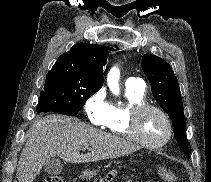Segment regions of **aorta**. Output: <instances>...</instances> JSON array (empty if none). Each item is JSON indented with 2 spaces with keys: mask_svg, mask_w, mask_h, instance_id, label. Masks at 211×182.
<instances>
[{
  "mask_svg": "<svg viewBox=\"0 0 211 182\" xmlns=\"http://www.w3.org/2000/svg\"><path fill=\"white\" fill-rule=\"evenodd\" d=\"M119 80H120V71L118 68L114 67L108 73L107 84L111 92L115 95L119 94Z\"/></svg>",
  "mask_w": 211,
  "mask_h": 182,
  "instance_id": "762f6f07",
  "label": "aorta"
}]
</instances>
